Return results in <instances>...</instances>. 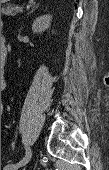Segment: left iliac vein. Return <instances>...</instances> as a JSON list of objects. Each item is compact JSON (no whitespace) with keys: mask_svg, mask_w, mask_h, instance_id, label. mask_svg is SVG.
Returning <instances> with one entry per match:
<instances>
[{"mask_svg":"<svg viewBox=\"0 0 109 170\" xmlns=\"http://www.w3.org/2000/svg\"><path fill=\"white\" fill-rule=\"evenodd\" d=\"M25 164H27V163H20V164H19V162L18 163H11V164L5 166L3 170H18L19 168H21Z\"/></svg>","mask_w":109,"mask_h":170,"instance_id":"obj_1","label":"left iliac vein"}]
</instances>
